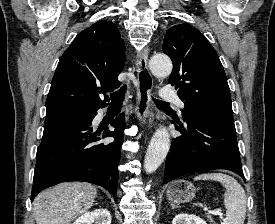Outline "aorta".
<instances>
[{"label": "aorta", "instance_id": "1", "mask_svg": "<svg viewBox=\"0 0 275 224\" xmlns=\"http://www.w3.org/2000/svg\"><path fill=\"white\" fill-rule=\"evenodd\" d=\"M151 72L160 78L168 77L172 72V62L166 55H154L149 61ZM170 135L165 127H160L154 133L144 159L146 173H153L163 163L170 149Z\"/></svg>", "mask_w": 275, "mask_h": 224}]
</instances>
